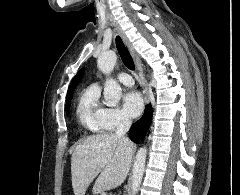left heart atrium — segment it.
I'll list each match as a JSON object with an SVG mask.
<instances>
[{
	"label": "left heart atrium",
	"instance_id": "39dd6f15",
	"mask_svg": "<svg viewBox=\"0 0 240 195\" xmlns=\"http://www.w3.org/2000/svg\"><path fill=\"white\" fill-rule=\"evenodd\" d=\"M124 105L132 116H139L143 110L142 95L138 91H130L124 97Z\"/></svg>",
	"mask_w": 240,
	"mask_h": 195
}]
</instances>
